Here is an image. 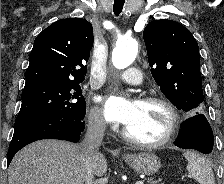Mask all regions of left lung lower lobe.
Instances as JSON below:
<instances>
[{
	"mask_svg": "<svg viewBox=\"0 0 224 184\" xmlns=\"http://www.w3.org/2000/svg\"><path fill=\"white\" fill-rule=\"evenodd\" d=\"M214 144L213 132L202 113H198L181 124V131L175 145L183 149H195L208 154Z\"/></svg>",
	"mask_w": 224,
	"mask_h": 184,
	"instance_id": "obj_1",
	"label": "left lung lower lobe"
}]
</instances>
